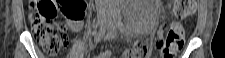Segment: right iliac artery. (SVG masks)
Segmentation results:
<instances>
[{
    "label": "right iliac artery",
    "instance_id": "right-iliac-artery-1",
    "mask_svg": "<svg viewBox=\"0 0 225 58\" xmlns=\"http://www.w3.org/2000/svg\"><path fill=\"white\" fill-rule=\"evenodd\" d=\"M106 29H107V24H105L95 35L94 37V44H97L101 41V39L103 38V36L106 33Z\"/></svg>",
    "mask_w": 225,
    "mask_h": 58
}]
</instances>
